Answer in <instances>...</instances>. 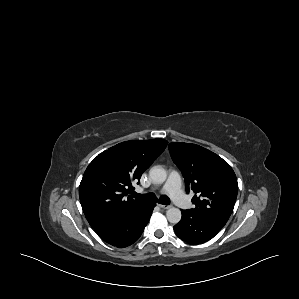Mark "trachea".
Here are the masks:
<instances>
[{
	"instance_id": "obj_1",
	"label": "trachea",
	"mask_w": 299,
	"mask_h": 299,
	"mask_svg": "<svg viewBox=\"0 0 299 299\" xmlns=\"http://www.w3.org/2000/svg\"><path fill=\"white\" fill-rule=\"evenodd\" d=\"M132 196L138 200H142L144 202L154 203L159 202L160 204L169 205L170 199L166 196L160 197L159 200L156 199V197L153 194H138L133 192Z\"/></svg>"
}]
</instances>
